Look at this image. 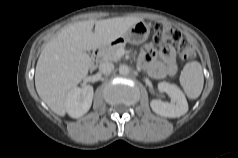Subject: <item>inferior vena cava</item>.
<instances>
[{"label": "inferior vena cava", "instance_id": "1", "mask_svg": "<svg viewBox=\"0 0 238 158\" xmlns=\"http://www.w3.org/2000/svg\"><path fill=\"white\" fill-rule=\"evenodd\" d=\"M114 69V65L109 62H103L99 65V72L101 74H110Z\"/></svg>", "mask_w": 238, "mask_h": 158}]
</instances>
